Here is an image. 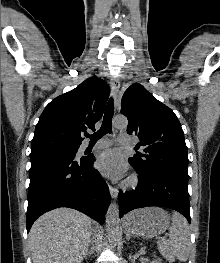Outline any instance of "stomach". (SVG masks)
<instances>
[{
	"label": "stomach",
	"mask_w": 220,
	"mask_h": 263,
	"mask_svg": "<svg viewBox=\"0 0 220 263\" xmlns=\"http://www.w3.org/2000/svg\"><path fill=\"white\" fill-rule=\"evenodd\" d=\"M169 225V215L158 207L134 210L124 219V228L128 233L146 238L162 234Z\"/></svg>",
	"instance_id": "1"
}]
</instances>
